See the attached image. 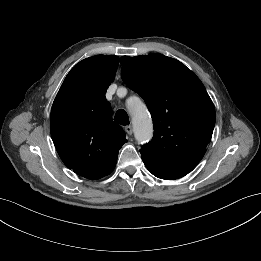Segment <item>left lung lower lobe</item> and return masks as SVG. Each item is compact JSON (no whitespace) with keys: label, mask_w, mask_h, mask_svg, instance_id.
Listing matches in <instances>:
<instances>
[{"label":"left lung lower lobe","mask_w":261,"mask_h":261,"mask_svg":"<svg viewBox=\"0 0 261 261\" xmlns=\"http://www.w3.org/2000/svg\"><path fill=\"white\" fill-rule=\"evenodd\" d=\"M144 164L146 165L147 169L154 176L161 178V179H165V180L177 179V178L183 177L187 174V173H183V172L163 170V169L157 168L154 165H151V164L146 163V162H144Z\"/></svg>","instance_id":"obj_1"}]
</instances>
